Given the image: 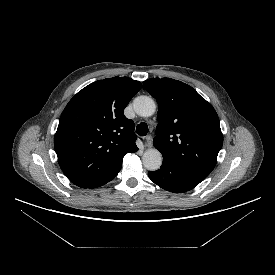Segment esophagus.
<instances>
[{
  "label": "esophagus",
  "mask_w": 275,
  "mask_h": 275,
  "mask_svg": "<svg viewBox=\"0 0 275 275\" xmlns=\"http://www.w3.org/2000/svg\"><path fill=\"white\" fill-rule=\"evenodd\" d=\"M152 143H153L152 136L151 135L146 136V138H145V145L148 148H151L152 147Z\"/></svg>",
  "instance_id": "esophagus-1"
}]
</instances>
